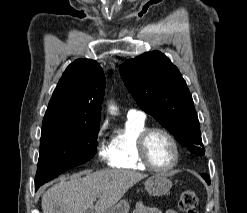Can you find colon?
Wrapping results in <instances>:
<instances>
[{
  "label": "colon",
  "instance_id": "1",
  "mask_svg": "<svg viewBox=\"0 0 247 213\" xmlns=\"http://www.w3.org/2000/svg\"><path fill=\"white\" fill-rule=\"evenodd\" d=\"M198 199L194 191L183 190L178 197V207L184 213L197 212Z\"/></svg>",
  "mask_w": 247,
  "mask_h": 213
}]
</instances>
